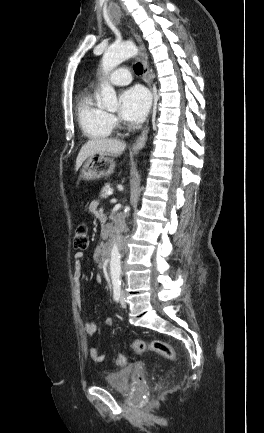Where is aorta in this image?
I'll list each match as a JSON object with an SVG mask.
<instances>
[{
    "label": "aorta",
    "instance_id": "1",
    "mask_svg": "<svg viewBox=\"0 0 264 433\" xmlns=\"http://www.w3.org/2000/svg\"><path fill=\"white\" fill-rule=\"evenodd\" d=\"M138 53L136 45L130 42L111 45L102 57V69L105 74L113 70L124 60L135 56ZM102 105L106 108H115L117 105V96L114 88L106 83L101 90ZM124 230L122 222L117 231L116 239L113 241L110 249V275L111 278H120L121 270V236Z\"/></svg>",
    "mask_w": 264,
    "mask_h": 433
}]
</instances>
